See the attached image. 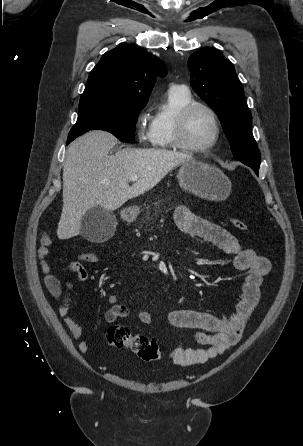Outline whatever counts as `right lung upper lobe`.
Instances as JSON below:
<instances>
[{
    "label": "right lung upper lobe",
    "mask_w": 303,
    "mask_h": 446,
    "mask_svg": "<svg viewBox=\"0 0 303 446\" xmlns=\"http://www.w3.org/2000/svg\"><path fill=\"white\" fill-rule=\"evenodd\" d=\"M167 74L164 63L139 47L118 46L106 52L90 72L79 105L145 106L156 75Z\"/></svg>",
    "instance_id": "1"
}]
</instances>
